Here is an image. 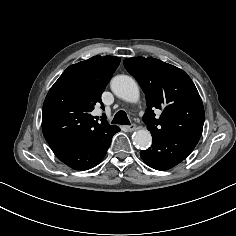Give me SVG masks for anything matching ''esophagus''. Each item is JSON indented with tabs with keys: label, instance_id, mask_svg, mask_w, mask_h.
I'll return each mask as SVG.
<instances>
[{
	"label": "esophagus",
	"instance_id": "1",
	"mask_svg": "<svg viewBox=\"0 0 236 236\" xmlns=\"http://www.w3.org/2000/svg\"><path fill=\"white\" fill-rule=\"evenodd\" d=\"M135 129H136V125L135 124H131V125L127 126V130L129 132H133Z\"/></svg>",
	"mask_w": 236,
	"mask_h": 236
}]
</instances>
